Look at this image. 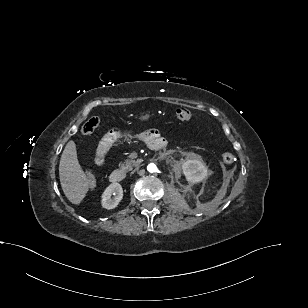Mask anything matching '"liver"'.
I'll return each instance as SVG.
<instances>
[{
  "label": "liver",
  "instance_id": "1",
  "mask_svg": "<svg viewBox=\"0 0 308 308\" xmlns=\"http://www.w3.org/2000/svg\"><path fill=\"white\" fill-rule=\"evenodd\" d=\"M59 177L63 192L73 204H79L89 190V179L82 170L74 141H69L61 155Z\"/></svg>",
  "mask_w": 308,
  "mask_h": 308
}]
</instances>
